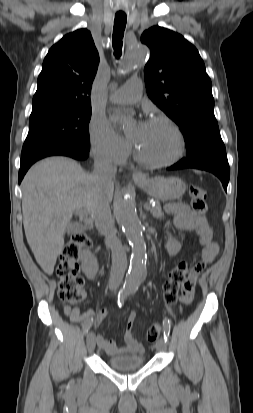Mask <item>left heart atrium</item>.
Wrapping results in <instances>:
<instances>
[{
  "label": "left heart atrium",
  "instance_id": "obj_1",
  "mask_svg": "<svg viewBox=\"0 0 253 413\" xmlns=\"http://www.w3.org/2000/svg\"><path fill=\"white\" fill-rule=\"evenodd\" d=\"M145 123H141L139 126H138V128L136 129V136L138 137L141 133H142V131L144 130V128H145Z\"/></svg>",
  "mask_w": 253,
  "mask_h": 413
}]
</instances>
